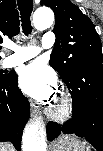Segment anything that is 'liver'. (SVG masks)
Segmentation results:
<instances>
[{"mask_svg": "<svg viewBox=\"0 0 103 151\" xmlns=\"http://www.w3.org/2000/svg\"><path fill=\"white\" fill-rule=\"evenodd\" d=\"M1 151H14V148L11 144H5L1 146Z\"/></svg>", "mask_w": 103, "mask_h": 151, "instance_id": "obj_1", "label": "liver"}]
</instances>
